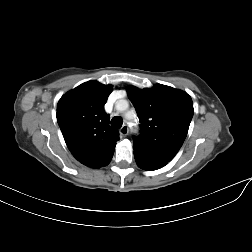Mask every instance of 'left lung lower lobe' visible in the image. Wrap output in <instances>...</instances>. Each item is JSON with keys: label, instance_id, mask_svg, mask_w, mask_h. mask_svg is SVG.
Returning a JSON list of instances; mask_svg holds the SVG:
<instances>
[{"label": "left lung lower lobe", "instance_id": "0a47b994", "mask_svg": "<svg viewBox=\"0 0 252 252\" xmlns=\"http://www.w3.org/2000/svg\"><path fill=\"white\" fill-rule=\"evenodd\" d=\"M135 161L143 170L153 171L164 167L168 161L146 154L134 148Z\"/></svg>", "mask_w": 252, "mask_h": 252}]
</instances>
